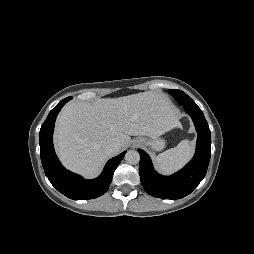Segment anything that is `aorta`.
Instances as JSON below:
<instances>
[{"label": "aorta", "mask_w": 254, "mask_h": 254, "mask_svg": "<svg viewBox=\"0 0 254 254\" xmlns=\"http://www.w3.org/2000/svg\"><path fill=\"white\" fill-rule=\"evenodd\" d=\"M125 160L129 164H137L140 161V155L136 150H129L125 154Z\"/></svg>", "instance_id": "aorta-1"}]
</instances>
